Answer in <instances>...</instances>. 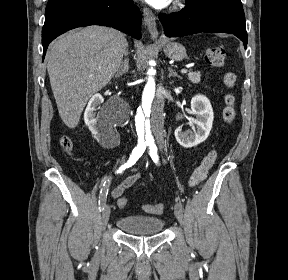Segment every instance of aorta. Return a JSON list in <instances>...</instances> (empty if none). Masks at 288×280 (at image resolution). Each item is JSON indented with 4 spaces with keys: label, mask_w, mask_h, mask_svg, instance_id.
Returning <instances> with one entry per match:
<instances>
[{
    "label": "aorta",
    "mask_w": 288,
    "mask_h": 280,
    "mask_svg": "<svg viewBox=\"0 0 288 280\" xmlns=\"http://www.w3.org/2000/svg\"><path fill=\"white\" fill-rule=\"evenodd\" d=\"M147 73L148 80L143 91L142 106H137L134 120H149L151 114L152 102L155 95V80L153 77L155 71L151 68ZM136 126V136H138V140H152V126H150V121H136Z\"/></svg>",
    "instance_id": "1"
}]
</instances>
